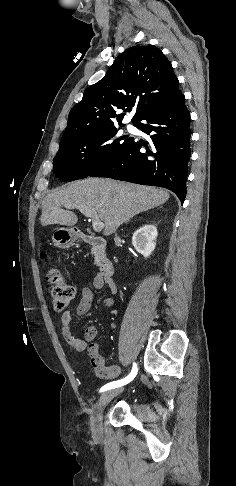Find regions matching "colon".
Returning a JSON list of instances; mask_svg holds the SVG:
<instances>
[{
  "mask_svg": "<svg viewBox=\"0 0 236 486\" xmlns=\"http://www.w3.org/2000/svg\"><path fill=\"white\" fill-rule=\"evenodd\" d=\"M46 279L52 286L51 298L54 309L56 311L66 309L74 297V288L65 283L63 272L57 268H50Z\"/></svg>",
  "mask_w": 236,
  "mask_h": 486,
  "instance_id": "5ec220e1",
  "label": "colon"
}]
</instances>
